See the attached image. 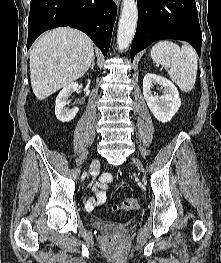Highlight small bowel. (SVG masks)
Masks as SVG:
<instances>
[{
  "mask_svg": "<svg viewBox=\"0 0 221 263\" xmlns=\"http://www.w3.org/2000/svg\"><path fill=\"white\" fill-rule=\"evenodd\" d=\"M113 180V176L110 173H103L99 180L93 185L92 190L94 192L93 197L85 199V209L89 212L93 211L97 206L103 205L107 200L106 190L109 183Z\"/></svg>",
  "mask_w": 221,
  "mask_h": 263,
  "instance_id": "1",
  "label": "small bowel"
}]
</instances>
